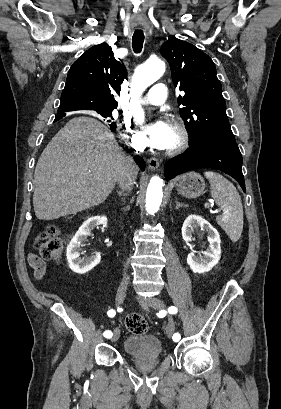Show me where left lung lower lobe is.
Wrapping results in <instances>:
<instances>
[{"label":"left lung lower lobe","instance_id":"1","mask_svg":"<svg viewBox=\"0 0 281 409\" xmlns=\"http://www.w3.org/2000/svg\"><path fill=\"white\" fill-rule=\"evenodd\" d=\"M196 168L221 170L237 180L245 192L242 155L236 142L211 138L191 142V148L187 152L165 164V177L171 179Z\"/></svg>","mask_w":281,"mask_h":409}]
</instances>
